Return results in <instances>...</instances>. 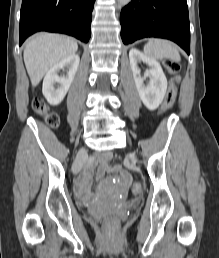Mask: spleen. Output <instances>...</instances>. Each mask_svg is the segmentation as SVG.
I'll return each instance as SVG.
<instances>
[{"mask_svg": "<svg viewBox=\"0 0 219 258\" xmlns=\"http://www.w3.org/2000/svg\"><path fill=\"white\" fill-rule=\"evenodd\" d=\"M144 53L152 59L168 58L173 61H180V54L177 47L162 39H150L144 46Z\"/></svg>", "mask_w": 219, "mask_h": 258, "instance_id": "3e777b00", "label": "spleen"}]
</instances>
